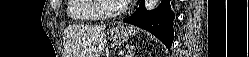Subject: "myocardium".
Masks as SVG:
<instances>
[{
    "instance_id": "obj_1",
    "label": "myocardium",
    "mask_w": 249,
    "mask_h": 57,
    "mask_svg": "<svg viewBox=\"0 0 249 57\" xmlns=\"http://www.w3.org/2000/svg\"><path fill=\"white\" fill-rule=\"evenodd\" d=\"M104 1L105 0H94L93 5L98 12V14L101 16V18L104 19H112L121 16L127 9V4L121 3L119 8L116 11L113 12H107L104 8Z\"/></svg>"
}]
</instances>
